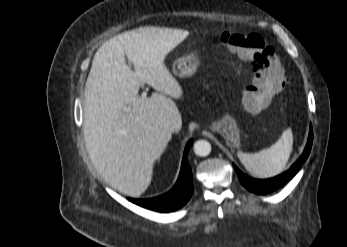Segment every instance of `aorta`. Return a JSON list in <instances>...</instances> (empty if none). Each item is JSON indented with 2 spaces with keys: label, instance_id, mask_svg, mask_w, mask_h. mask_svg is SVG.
Wrapping results in <instances>:
<instances>
[{
  "label": "aorta",
  "instance_id": "1",
  "mask_svg": "<svg viewBox=\"0 0 347 247\" xmlns=\"http://www.w3.org/2000/svg\"><path fill=\"white\" fill-rule=\"evenodd\" d=\"M211 152V144L206 140H198L194 144V153L200 157H206Z\"/></svg>",
  "mask_w": 347,
  "mask_h": 247
}]
</instances>
